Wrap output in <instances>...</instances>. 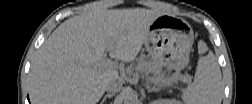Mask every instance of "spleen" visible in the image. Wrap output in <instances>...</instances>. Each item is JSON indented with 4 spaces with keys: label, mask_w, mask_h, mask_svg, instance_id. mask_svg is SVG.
<instances>
[{
    "label": "spleen",
    "mask_w": 252,
    "mask_h": 104,
    "mask_svg": "<svg viewBox=\"0 0 252 104\" xmlns=\"http://www.w3.org/2000/svg\"><path fill=\"white\" fill-rule=\"evenodd\" d=\"M200 54L208 47L205 42L198 44ZM223 84L219 64L213 52L198 60L194 82L183 90L182 99L187 104H219L222 101Z\"/></svg>",
    "instance_id": "spleen-1"
}]
</instances>
